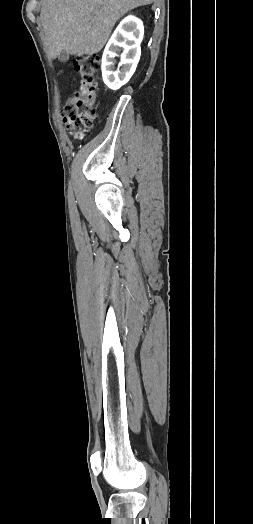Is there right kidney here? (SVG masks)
Returning <instances> with one entry per match:
<instances>
[{
    "instance_id": "1",
    "label": "right kidney",
    "mask_w": 253,
    "mask_h": 524,
    "mask_svg": "<svg viewBox=\"0 0 253 524\" xmlns=\"http://www.w3.org/2000/svg\"><path fill=\"white\" fill-rule=\"evenodd\" d=\"M143 35V22L135 16L123 19L114 31L104 49L101 65L103 81L110 89H119L135 72L141 55L140 43ZM121 50V63L114 70V58Z\"/></svg>"
}]
</instances>
